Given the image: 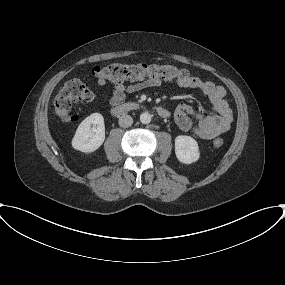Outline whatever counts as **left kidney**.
Returning a JSON list of instances; mask_svg holds the SVG:
<instances>
[{"mask_svg": "<svg viewBox=\"0 0 285 285\" xmlns=\"http://www.w3.org/2000/svg\"><path fill=\"white\" fill-rule=\"evenodd\" d=\"M175 154L183 164L194 163L200 158L198 143L190 136H177L175 139Z\"/></svg>", "mask_w": 285, "mask_h": 285, "instance_id": "1", "label": "left kidney"}]
</instances>
